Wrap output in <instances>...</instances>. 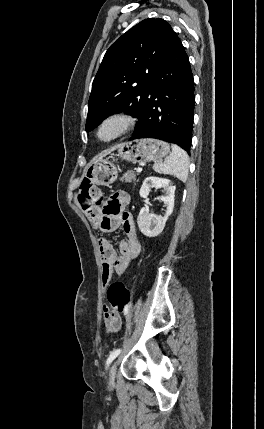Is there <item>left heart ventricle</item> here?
<instances>
[{"mask_svg": "<svg viewBox=\"0 0 264 429\" xmlns=\"http://www.w3.org/2000/svg\"><path fill=\"white\" fill-rule=\"evenodd\" d=\"M113 132V127H108L104 131V135L107 136Z\"/></svg>", "mask_w": 264, "mask_h": 429, "instance_id": "obj_1", "label": "left heart ventricle"}]
</instances>
